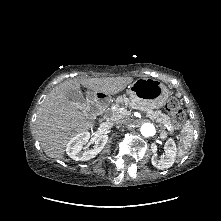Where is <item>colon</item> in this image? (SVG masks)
<instances>
[{"label": "colon", "mask_w": 221, "mask_h": 221, "mask_svg": "<svg viewBox=\"0 0 221 221\" xmlns=\"http://www.w3.org/2000/svg\"><path fill=\"white\" fill-rule=\"evenodd\" d=\"M165 108L167 112L173 117L175 124L182 125L186 120V114L184 110L181 108L179 102L175 98H170Z\"/></svg>", "instance_id": "colon-1"}]
</instances>
